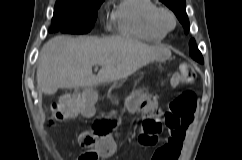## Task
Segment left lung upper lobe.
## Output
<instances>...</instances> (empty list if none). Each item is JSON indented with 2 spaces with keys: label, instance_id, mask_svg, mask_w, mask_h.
I'll return each instance as SVG.
<instances>
[{
  "label": "left lung upper lobe",
  "instance_id": "5c2ea615",
  "mask_svg": "<svg viewBox=\"0 0 242 160\" xmlns=\"http://www.w3.org/2000/svg\"><path fill=\"white\" fill-rule=\"evenodd\" d=\"M166 6H168L176 14L177 18L184 27V32L187 34L189 31V20L186 14L185 0H160ZM190 56L199 63H204L201 52L198 50L195 40L191 39L189 42Z\"/></svg>",
  "mask_w": 242,
  "mask_h": 160
}]
</instances>
